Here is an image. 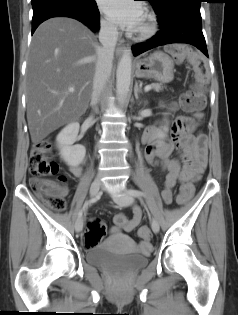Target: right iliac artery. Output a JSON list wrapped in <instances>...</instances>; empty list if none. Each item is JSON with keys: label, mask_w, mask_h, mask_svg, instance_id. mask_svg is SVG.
<instances>
[{"label": "right iliac artery", "mask_w": 238, "mask_h": 315, "mask_svg": "<svg viewBox=\"0 0 238 315\" xmlns=\"http://www.w3.org/2000/svg\"><path fill=\"white\" fill-rule=\"evenodd\" d=\"M99 199V196H96L94 198H91L90 200L86 201L82 207V209L79 211L78 213V219L82 217L83 212L87 209V207L89 205H91L92 203H95L97 200Z\"/></svg>", "instance_id": "right-iliac-artery-1"}]
</instances>
